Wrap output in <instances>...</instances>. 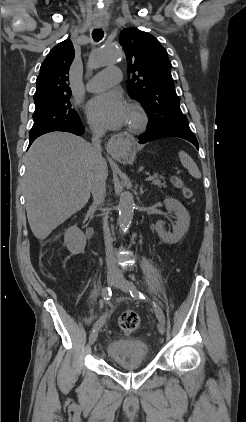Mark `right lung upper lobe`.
<instances>
[{
    "label": "right lung upper lobe",
    "instance_id": "obj_1",
    "mask_svg": "<svg viewBox=\"0 0 246 422\" xmlns=\"http://www.w3.org/2000/svg\"><path fill=\"white\" fill-rule=\"evenodd\" d=\"M74 56L73 44L68 39L57 44L47 55L41 64L36 80L35 109L48 105L59 98L71 96L68 75Z\"/></svg>",
    "mask_w": 246,
    "mask_h": 422
}]
</instances>
